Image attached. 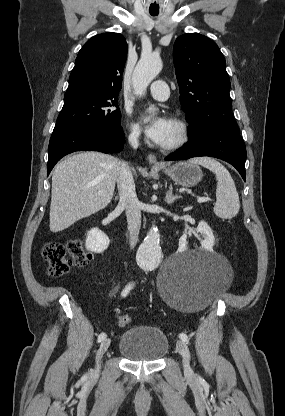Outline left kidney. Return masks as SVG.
<instances>
[{
  "label": "left kidney",
  "instance_id": "obj_1",
  "mask_svg": "<svg viewBox=\"0 0 285 416\" xmlns=\"http://www.w3.org/2000/svg\"><path fill=\"white\" fill-rule=\"evenodd\" d=\"M196 232H199L203 238V240H201L202 248H204V250H208V252H212L213 246L215 244V238L210 226H208L206 222H199ZM186 244V236H181L179 240V248H186Z\"/></svg>",
  "mask_w": 285,
  "mask_h": 416
}]
</instances>
